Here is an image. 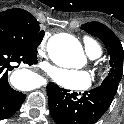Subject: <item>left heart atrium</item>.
<instances>
[{
  "mask_svg": "<svg viewBox=\"0 0 124 124\" xmlns=\"http://www.w3.org/2000/svg\"><path fill=\"white\" fill-rule=\"evenodd\" d=\"M49 75L58 85L67 89H84L91 84V76L84 70L51 68Z\"/></svg>",
  "mask_w": 124,
  "mask_h": 124,
  "instance_id": "obj_1",
  "label": "left heart atrium"
}]
</instances>
